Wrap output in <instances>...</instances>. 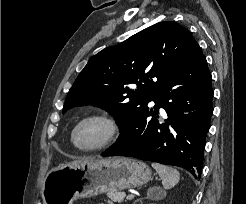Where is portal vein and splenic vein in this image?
I'll use <instances>...</instances> for the list:
<instances>
[{"instance_id":"obj_1","label":"portal vein and splenic vein","mask_w":246,"mask_h":204,"mask_svg":"<svg viewBox=\"0 0 246 204\" xmlns=\"http://www.w3.org/2000/svg\"><path fill=\"white\" fill-rule=\"evenodd\" d=\"M126 198L127 199H133L134 198V195H128Z\"/></svg>"}]
</instances>
